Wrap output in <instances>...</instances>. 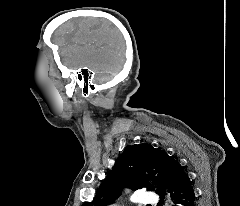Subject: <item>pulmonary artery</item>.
<instances>
[{"mask_svg": "<svg viewBox=\"0 0 240 206\" xmlns=\"http://www.w3.org/2000/svg\"><path fill=\"white\" fill-rule=\"evenodd\" d=\"M157 200V196L151 192L139 191L135 194V202L143 205L156 204Z\"/></svg>", "mask_w": 240, "mask_h": 206, "instance_id": "1", "label": "pulmonary artery"}]
</instances>
